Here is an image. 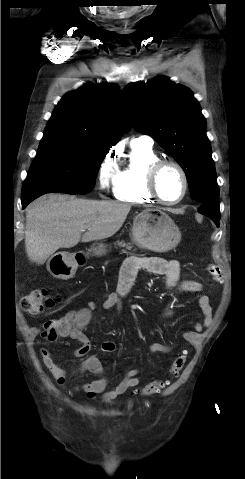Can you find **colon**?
<instances>
[{"label":"colon","mask_w":245,"mask_h":479,"mask_svg":"<svg viewBox=\"0 0 245 479\" xmlns=\"http://www.w3.org/2000/svg\"><path fill=\"white\" fill-rule=\"evenodd\" d=\"M209 274L217 278L220 275L218 266L210 264L208 266ZM56 299L48 294L45 289H35L24 296L21 300V308L24 312L32 315L39 314L47 308H51L55 304ZM65 330V325L58 323L56 320L47 321L44 324L43 337L48 340H54L62 337ZM187 361V352L180 351L174 358L168 377L154 380L138 390V393L144 396H152L160 393L171 383L172 378L178 377Z\"/></svg>","instance_id":"1"}]
</instances>
